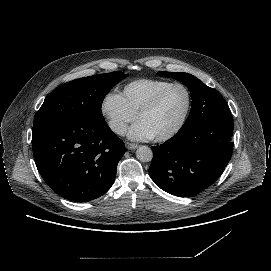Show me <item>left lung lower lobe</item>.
I'll return each mask as SVG.
<instances>
[{"mask_svg": "<svg viewBox=\"0 0 271 271\" xmlns=\"http://www.w3.org/2000/svg\"><path fill=\"white\" fill-rule=\"evenodd\" d=\"M232 119L211 118L182 127L175 136L154 146L149 168L162 190L191 197L212 185L223 173L233 152Z\"/></svg>", "mask_w": 271, "mask_h": 271, "instance_id": "0a47b994", "label": "left lung lower lobe"}]
</instances>
